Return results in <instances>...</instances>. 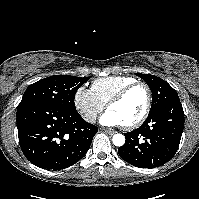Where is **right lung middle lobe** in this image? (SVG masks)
Listing matches in <instances>:
<instances>
[{
    "mask_svg": "<svg viewBox=\"0 0 199 199\" xmlns=\"http://www.w3.org/2000/svg\"><path fill=\"white\" fill-rule=\"evenodd\" d=\"M89 77L55 75L31 84L19 105L33 102L47 103L62 109L76 111L74 98L79 87Z\"/></svg>",
    "mask_w": 199,
    "mask_h": 199,
    "instance_id": "obj_1",
    "label": "right lung middle lobe"
}]
</instances>
